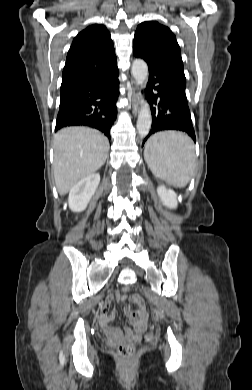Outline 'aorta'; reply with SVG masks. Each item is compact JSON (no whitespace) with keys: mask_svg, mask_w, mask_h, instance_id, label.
<instances>
[{"mask_svg":"<svg viewBox=\"0 0 252 390\" xmlns=\"http://www.w3.org/2000/svg\"><path fill=\"white\" fill-rule=\"evenodd\" d=\"M132 75L136 83L144 89L148 81V66L145 61L136 59L132 63ZM152 117L150 107L147 102H144L137 119V130L141 137H145L151 128Z\"/></svg>","mask_w":252,"mask_h":390,"instance_id":"aorta-1","label":"aorta"}]
</instances>
